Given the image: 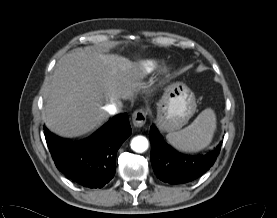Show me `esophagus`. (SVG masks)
<instances>
[{
	"mask_svg": "<svg viewBox=\"0 0 277 218\" xmlns=\"http://www.w3.org/2000/svg\"><path fill=\"white\" fill-rule=\"evenodd\" d=\"M147 119V112L144 109H138L132 114V122L135 127H142Z\"/></svg>",
	"mask_w": 277,
	"mask_h": 218,
	"instance_id": "obj_1",
	"label": "esophagus"
}]
</instances>
